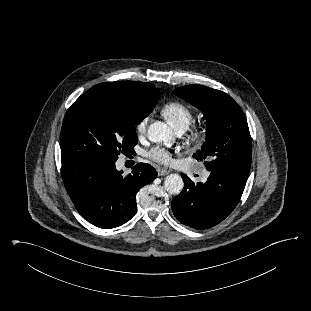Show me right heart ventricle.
Returning a JSON list of instances; mask_svg holds the SVG:
<instances>
[{
  "mask_svg": "<svg viewBox=\"0 0 311 311\" xmlns=\"http://www.w3.org/2000/svg\"><path fill=\"white\" fill-rule=\"evenodd\" d=\"M161 113L167 122L176 130H186L193 120L192 109L178 101L165 104Z\"/></svg>",
  "mask_w": 311,
  "mask_h": 311,
  "instance_id": "e07e8e85",
  "label": "right heart ventricle"
}]
</instances>
